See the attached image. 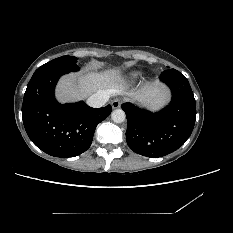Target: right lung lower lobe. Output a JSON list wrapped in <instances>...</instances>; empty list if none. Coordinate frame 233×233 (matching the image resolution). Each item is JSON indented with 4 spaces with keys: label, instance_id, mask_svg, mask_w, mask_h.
I'll list each match as a JSON object with an SVG mask.
<instances>
[{
    "label": "right lung lower lobe",
    "instance_id": "obj_1",
    "mask_svg": "<svg viewBox=\"0 0 233 233\" xmlns=\"http://www.w3.org/2000/svg\"><path fill=\"white\" fill-rule=\"evenodd\" d=\"M56 69L34 74L22 105L25 130L31 141L54 157H74L87 151L96 126L111 113V105L91 108L83 101L60 104L54 96L58 79L66 74Z\"/></svg>",
    "mask_w": 233,
    "mask_h": 233
}]
</instances>
